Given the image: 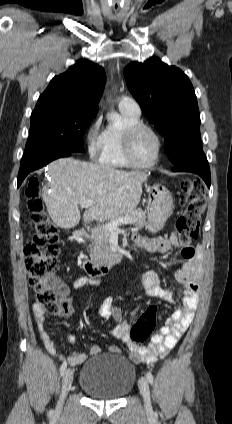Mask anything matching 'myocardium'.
<instances>
[{"instance_id":"f54148a6","label":"myocardium","mask_w":232,"mask_h":424,"mask_svg":"<svg viewBox=\"0 0 232 424\" xmlns=\"http://www.w3.org/2000/svg\"><path fill=\"white\" fill-rule=\"evenodd\" d=\"M143 130L149 131L155 137L157 141L156 156L153 161L147 164L137 163L134 160L133 153H132L135 137L138 135L139 132ZM123 147H124L125 159L131 167L138 168V169H148V168L154 167L159 162L163 143L159 133L153 127H151L148 124L140 122L126 128L124 132Z\"/></svg>"}]
</instances>
